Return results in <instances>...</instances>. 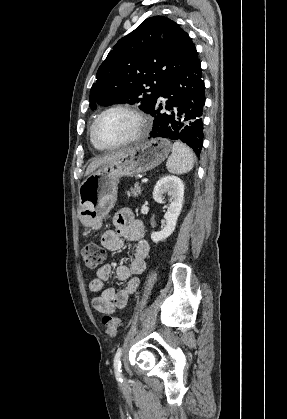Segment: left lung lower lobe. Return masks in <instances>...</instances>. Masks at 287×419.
Returning a JSON list of instances; mask_svg holds the SVG:
<instances>
[{"label":"left lung lower lobe","instance_id":"left-lung-lower-lobe-1","mask_svg":"<svg viewBox=\"0 0 287 419\" xmlns=\"http://www.w3.org/2000/svg\"><path fill=\"white\" fill-rule=\"evenodd\" d=\"M204 81L199 59L180 74L168 80L159 90L149 114L154 117L149 139L168 138L181 140L189 145L197 156L203 141L202 110L205 104ZM166 99L167 112L161 113L158 98Z\"/></svg>","mask_w":287,"mask_h":419}]
</instances>
